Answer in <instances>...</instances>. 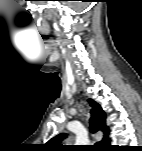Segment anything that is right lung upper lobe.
<instances>
[{"instance_id":"1","label":"right lung upper lobe","mask_w":142,"mask_h":151,"mask_svg":"<svg viewBox=\"0 0 142 151\" xmlns=\"http://www.w3.org/2000/svg\"><path fill=\"white\" fill-rule=\"evenodd\" d=\"M91 108L90 114V131L95 133L97 131H101L103 133V139L101 141L102 146H106L109 140V127L106 125V114L102 110L101 106L96 103L92 99H88ZM65 134L60 133L59 135L55 136L48 142V147L54 150H58L62 148L60 142L65 138Z\"/></svg>"}]
</instances>
